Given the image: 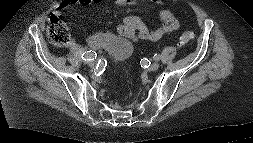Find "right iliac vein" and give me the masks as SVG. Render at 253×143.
I'll list each match as a JSON object with an SVG mask.
<instances>
[{
	"label": "right iliac vein",
	"instance_id": "obj_1",
	"mask_svg": "<svg viewBox=\"0 0 253 143\" xmlns=\"http://www.w3.org/2000/svg\"><path fill=\"white\" fill-rule=\"evenodd\" d=\"M88 65H89L91 68H93V67H95V62H94V61H90V62L88 63Z\"/></svg>",
	"mask_w": 253,
	"mask_h": 143
}]
</instances>
